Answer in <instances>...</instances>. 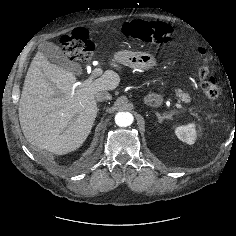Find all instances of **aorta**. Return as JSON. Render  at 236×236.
Wrapping results in <instances>:
<instances>
[{
  "instance_id": "aorta-1",
  "label": "aorta",
  "mask_w": 236,
  "mask_h": 236,
  "mask_svg": "<svg viewBox=\"0 0 236 236\" xmlns=\"http://www.w3.org/2000/svg\"><path fill=\"white\" fill-rule=\"evenodd\" d=\"M134 117L129 112H119L115 116V123L120 127H127L133 123Z\"/></svg>"
}]
</instances>
